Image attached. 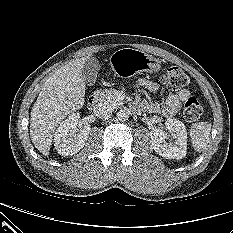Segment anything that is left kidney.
Returning <instances> with one entry per match:
<instances>
[{"label": "left kidney", "mask_w": 233, "mask_h": 233, "mask_svg": "<svg viewBox=\"0 0 233 233\" xmlns=\"http://www.w3.org/2000/svg\"><path fill=\"white\" fill-rule=\"evenodd\" d=\"M165 126L171 133V136L161 127L152 128L150 131L153 149L166 159H182L187 151L185 125L175 118H169L165 121Z\"/></svg>", "instance_id": "1"}]
</instances>
